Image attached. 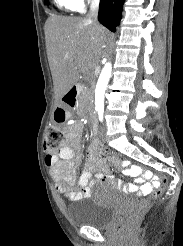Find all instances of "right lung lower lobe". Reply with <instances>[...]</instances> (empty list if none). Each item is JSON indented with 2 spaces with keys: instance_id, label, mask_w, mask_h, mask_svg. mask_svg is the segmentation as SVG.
Instances as JSON below:
<instances>
[{
  "instance_id": "98d812e1",
  "label": "right lung lower lobe",
  "mask_w": 183,
  "mask_h": 246,
  "mask_svg": "<svg viewBox=\"0 0 183 246\" xmlns=\"http://www.w3.org/2000/svg\"><path fill=\"white\" fill-rule=\"evenodd\" d=\"M124 2L125 0H100L98 20L112 32L120 24Z\"/></svg>"
}]
</instances>
